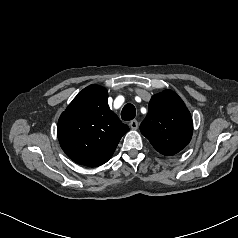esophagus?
<instances>
[{"mask_svg": "<svg viewBox=\"0 0 238 238\" xmlns=\"http://www.w3.org/2000/svg\"><path fill=\"white\" fill-rule=\"evenodd\" d=\"M131 129L133 130H136L138 128V121L137 120H132L130 123H129Z\"/></svg>", "mask_w": 238, "mask_h": 238, "instance_id": "obj_1", "label": "esophagus"}]
</instances>
